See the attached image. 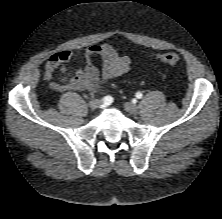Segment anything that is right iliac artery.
Returning a JSON list of instances; mask_svg holds the SVG:
<instances>
[{
	"mask_svg": "<svg viewBox=\"0 0 222 219\" xmlns=\"http://www.w3.org/2000/svg\"><path fill=\"white\" fill-rule=\"evenodd\" d=\"M103 101L107 104H110L113 102V98L111 96H106L103 98Z\"/></svg>",
	"mask_w": 222,
	"mask_h": 219,
	"instance_id": "right-iliac-artery-1",
	"label": "right iliac artery"
}]
</instances>
